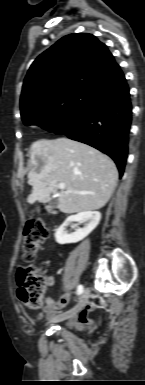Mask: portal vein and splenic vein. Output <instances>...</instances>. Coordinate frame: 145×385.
<instances>
[{"label":"portal vein and splenic vein","instance_id":"obj_1","mask_svg":"<svg viewBox=\"0 0 145 385\" xmlns=\"http://www.w3.org/2000/svg\"><path fill=\"white\" fill-rule=\"evenodd\" d=\"M57 187L61 190L65 189V184L64 183H59ZM69 193H72L73 191H68ZM74 193H80V194H85L84 192H74Z\"/></svg>","mask_w":145,"mask_h":385}]
</instances>
